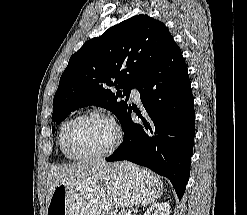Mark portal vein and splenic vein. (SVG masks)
<instances>
[{
	"label": "portal vein and splenic vein",
	"instance_id": "portal-vein-and-splenic-vein-1",
	"mask_svg": "<svg viewBox=\"0 0 247 215\" xmlns=\"http://www.w3.org/2000/svg\"><path fill=\"white\" fill-rule=\"evenodd\" d=\"M126 215H131V213L130 212H126Z\"/></svg>",
	"mask_w": 247,
	"mask_h": 215
}]
</instances>
